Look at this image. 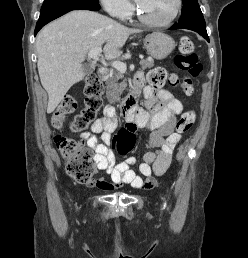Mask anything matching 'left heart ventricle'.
I'll return each instance as SVG.
<instances>
[{
    "instance_id": "b2bd125f",
    "label": "left heart ventricle",
    "mask_w": 248,
    "mask_h": 258,
    "mask_svg": "<svg viewBox=\"0 0 248 258\" xmlns=\"http://www.w3.org/2000/svg\"><path fill=\"white\" fill-rule=\"evenodd\" d=\"M144 16L152 21L168 20L176 9V0H136Z\"/></svg>"
}]
</instances>
